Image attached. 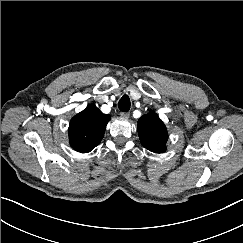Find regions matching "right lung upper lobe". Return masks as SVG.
Here are the masks:
<instances>
[{
    "label": "right lung upper lobe",
    "mask_w": 243,
    "mask_h": 243,
    "mask_svg": "<svg viewBox=\"0 0 243 243\" xmlns=\"http://www.w3.org/2000/svg\"><path fill=\"white\" fill-rule=\"evenodd\" d=\"M110 119L95 105H88L71 119L68 130L71 147L81 153L93 150L101 142Z\"/></svg>",
    "instance_id": "right-lung-upper-lobe-1"
}]
</instances>
